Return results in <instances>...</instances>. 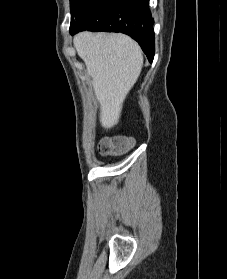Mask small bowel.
Masks as SVG:
<instances>
[{
  "instance_id": "1",
  "label": "small bowel",
  "mask_w": 227,
  "mask_h": 279,
  "mask_svg": "<svg viewBox=\"0 0 227 279\" xmlns=\"http://www.w3.org/2000/svg\"><path fill=\"white\" fill-rule=\"evenodd\" d=\"M127 138H125V137H120V138H118L117 139V141H123V140H126Z\"/></svg>"
}]
</instances>
